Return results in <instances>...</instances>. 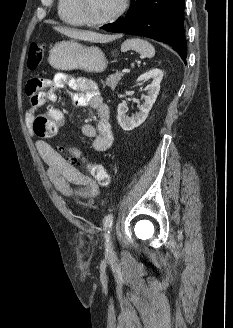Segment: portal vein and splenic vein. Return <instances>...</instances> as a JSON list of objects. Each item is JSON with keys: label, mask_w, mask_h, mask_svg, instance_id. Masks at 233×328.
<instances>
[{"label": "portal vein and splenic vein", "mask_w": 233, "mask_h": 328, "mask_svg": "<svg viewBox=\"0 0 233 328\" xmlns=\"http://www.w3.org/2000/svg\"><path fill=\"white\" fill-rule=\"evenodd\" d=\"M122 72H123V73H129L130 70H129V69H123Z\"/></svg>", "instance_id": "1"}]
</instances>
